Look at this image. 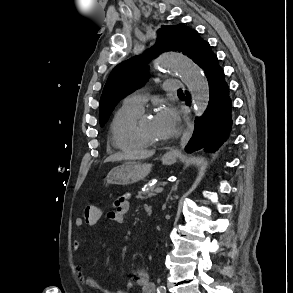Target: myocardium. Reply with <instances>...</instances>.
I'll use <instances>...</instances> for the list:
<instances>
[{
    "label": "myocardium",
    "mask_w": 293,
    "mask_h": 293,
    "mask_svg": "<svg viewBox=\"0 0 293 293\" xmlns=\"http://www.w3.org/2000/svg\"><path fill=\"white\" fill-rule=\"evenodd\" d=\"M152 114L151 111H142V113L138 116L137 118V121H136V132L137 134L139 135V137L148 145V146H154V147H157V146H162L165 141L162 140V141H158V140H154V139H151L150 137H148L144 130H143V127H142V123H143V120L150 116Z\"/></svg>",
    "instance_id": "myocardium-1"
}]
</instances>
